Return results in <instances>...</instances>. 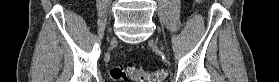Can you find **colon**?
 Returning <instances> with one entry per match:
<instances>
[{"instance_id": "5ec220e1", "label": "colon", "mask_w": 279, "mask_h": 82, "mask_svg": "<svg viewBox=\"0 0 279 82\" xmlns=\"http://www.w3.org/2000/svg\"><path fill=\"white\" fill-rule=\"evenodd\" d=\"M111 78L115 82L127 81L130 77L135 82H162L166 75L165 70H157L154 75H150L148 72L141 68L123 66H115L110 71Z\"/></svg>"}]
</instances>
